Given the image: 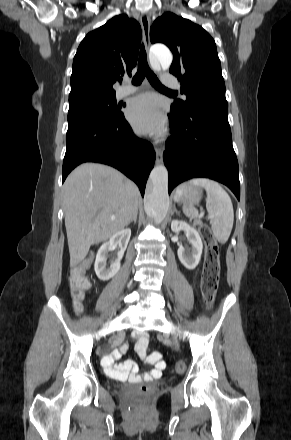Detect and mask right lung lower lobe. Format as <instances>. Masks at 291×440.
<instances>
[{"label": "right lung lower lobe", "mask_w": 291, "mask_h": 440, "mask_svg": "<svg viewBox=\"0 0 291 440\" xmlns=\"http://www.w3.org/2000/svg\"><path fill=\"white\" fill-rule=\"evenodd\" d=\"M66 146L62 182L79 164L98 162L123 172L144 196L155 153L150 143L134 135L122 112L115 117L88 111L68 114Z\"/></svg>", "instance_id": "1"}]
</instances>
